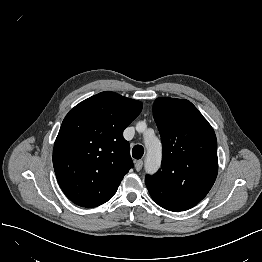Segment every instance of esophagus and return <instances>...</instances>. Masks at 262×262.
I'll use <instances>...</instances> for the list:
<instances>
[{"label": "esophagus", "mask_w": 262, "mask_h": 262, "mask_svg": "<svg viewBox=\"0 0 262 262\" xmlns=\"http://www.w3.org/2000/svg\"><path fill=\"white\" fill-rule=\"evenodd\" d=\"M143 167V161L142 160H137L135 161V169L136 171H140Z\"/></svg>", "instance_id": "esophagus-1"}]
</instances>
